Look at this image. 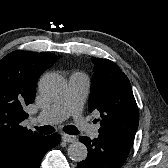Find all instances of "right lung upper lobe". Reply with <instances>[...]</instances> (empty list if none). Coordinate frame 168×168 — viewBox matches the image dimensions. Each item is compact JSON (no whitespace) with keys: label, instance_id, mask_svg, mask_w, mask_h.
<instances>
[{"label":"right lung upper lobe","instance_id":"cb5924a9","mask_svg":"<svg viewBox=\"0 0 168 168\" xmlns=\"http://www.w3.org/2000/svg\"><path fill=\"white\" fill-rule=\"evenodd\" d=\"M59 58L46 52L14 51L0 60V168H8L14 155L42 137L21 125L27 117L23 107L34 101L41 73Z\"/></svg>","mask_w":168,"mask_h":168}]
</instances>
